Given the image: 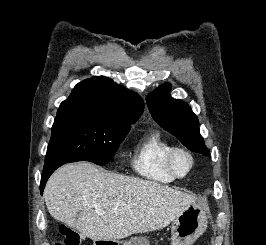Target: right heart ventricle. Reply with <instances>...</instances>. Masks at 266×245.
I'll return each mask as SVG.
<instances>
[{
  "label": "right heart ventricle",
  "instance_id": "right-heart-ventricle-1",
  "mask_svg": "<svg viewBox=\"0 0 266 245\" xmlns=\"http://www.w3.org/2000/svg\"><path fill=\"white\" fill-rule=\"evenodd\" d=\"M174 144L160 130L146 131L134 144L131 165L136 174L150 183L172 184L177 179L169 172L166 154Z\"/></svg>",
  "mask_w": 266,
  "mask_h": 245
}]
</instances>
